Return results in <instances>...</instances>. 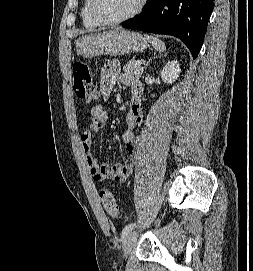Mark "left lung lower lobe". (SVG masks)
Returning <instances> with one entry per match:
<instances>
[{"label":"left lung lower lobe","instance_id":"obj_1","mask_svg":"<svg viewBox=\"0 0 253 271\" xmlns=\"http://www.w3.org/2000/svg\"><path fill=\"white\" fill-rule=\"evenodd\" d=\"M212 9L213 0H148L142 13L122 27L173 35L186 44L195 59Z\"/></svg>","mask_w":253,"mask_h":271}]
</instances>
